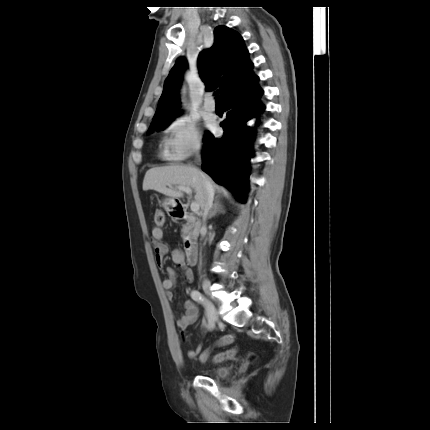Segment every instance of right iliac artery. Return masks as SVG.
<instances>
[{
	"label": "right iliac artery",
	"mask_w": 430,
	"mask_h": 430,
	"mask_svg": "<svg viewBox=\"0 0 430 430\" xmlns=\"http://www.w3.org/2000/svg\"><path fill=\"white\" fill-rule=\"evenodd\" d=\"M191 298L196 301L201 303L205 309H206V313H207V318H208V323H209V328L213 329L214 328V316L213 314L209 311L208 309V301L206 300V298L197 290H192L191 292Z\"/></svg>",
	"instance_id": "82829eb1"
}]
</instances>
